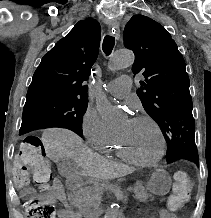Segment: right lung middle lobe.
Wrapping results in <instances>:
<instances>
[{
  "label": "right lung middle lobe",
  "mask_w": 211,
  "mask_h": 218,
  "mask_svg": "<svg viewBox=\"0 0 211 218\" xmlns=\"http://www.w3.org/2000/svg\"><path fill=\"white\" fill-rule=\"evenodd\" d=\"M88 101L76 98H47L26 102L21 134L48 127L68 128L82 137V120Z\"/></svg>",
  "instance_id": "obj_1"
}]
</instances>
